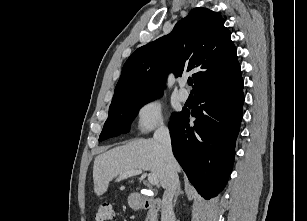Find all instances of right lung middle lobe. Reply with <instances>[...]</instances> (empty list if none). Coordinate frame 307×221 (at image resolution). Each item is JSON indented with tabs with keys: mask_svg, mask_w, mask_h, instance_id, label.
Listing matches in <instances>:
<instances>
[{
	"mask_svg": "<svg viewBox=\"0 0 307 221\" xmlns=\"http://www.w3.org/2000/svg\"><path fill=\"white\" fill-rule=\"evenodd\" d=\"M162 93H143L125 97L109 107V115L100 134L99 141L127 133L131 122L146 103L159 98ZM179 112H174L173 119Z\"/></svg>",
	"mask_w": 307,
	"mask_h": 221,
	"instance_id": "1",
	"label": "right lung middle lobe"
}]
</instances>
